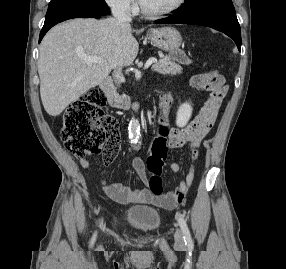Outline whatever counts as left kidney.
Segmentation results:
<instances>
[{"label": "left kidney", "instance_id": "1", "mask_svg": "<svg viewBox=\"0 0 286 269\" xmlns=\"http://www.w3.org/2000/svg\"><path fill=\"white\" fill-rule=\"evenodd\" d=\"M192 114V107L189 103H184L180 105L177 117H176V125L178 127L186 126L187 122L189 121Z\"/></svg>", "mask_w": 286, "mask_h": 269}]
</instances>
